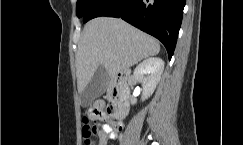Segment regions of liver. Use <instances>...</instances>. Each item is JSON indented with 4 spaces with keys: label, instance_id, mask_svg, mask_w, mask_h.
I'll return each instance as SVG.
<instances>
[{
    "label": "liver",
    "instance_id": "obj_1",
    "mask_svg": "<svg viewBox=\"0 0 243 145\" xmlns=\"http://www.w3.org/2000/svg\"><path fill=\"white\" fill-rule=\"evenodd\" d=\"M159 51L156 39L121 19H92L83 29L76 53L78 92L84 90L100 65L113 76Z\"/></svg>",
    "mask_w": 243,
    "mask_h": 145
}]
</instances>
